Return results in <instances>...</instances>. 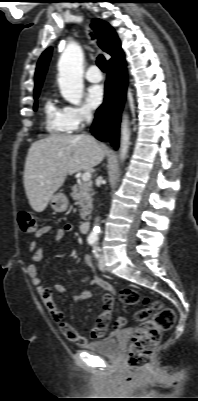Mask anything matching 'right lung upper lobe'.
Here are the masks:
<instances>
[{
	"label": "right lung upper lobe",
	"instance_id": "obj_1",
	"mask_svg": "<svg viewBox=\"0 0 198 401\" xmlns=\"http://www.w3.org/2000/svg\"><path fill=\"white\" fill-rule=\"evenodd\" d=\"M91 27L93 28L99 39V46L106 53L110 54L112 58H114L115 56H117L119 53L122 52L120 40L114 29L108 23H106L101 19H94L92 21ZM51 51L52 48H48L47 50H45L37 63L35 72V88H34L35 94L39 93L41 89L44 76L47 71L48 63L51 57Z\"/></svg>",
	"mask_w": 198,
	"mask_h": 401
}]
</instances>
